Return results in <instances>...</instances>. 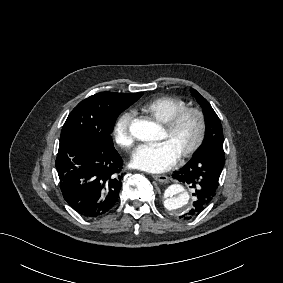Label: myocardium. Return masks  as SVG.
I'll return each instance as SVG.
<instances>
[{"mask_svg": "<svg viewBox=\"0 0 283 283\" xmlns=\"http://www.w3.org/2000/svg\"><path fill=\"white\" fill-rule=\"evenodd\" d=\"M188 115L196 116L199 123V129L194 143L181 154L180 156L181 160H185L191 157L192 155H194L195 153H197L204 144L206 137L205 115L202 112V110H200L199 108L187 107L170 116L166 121V123L164 124L166 131L172 133L173 131H175V129L178 127L181 121Z\"/></svg>", "mask_w": 283, "mask_h": 283, "instance_id": "1", "label": "myocardium"}]
</instances>
